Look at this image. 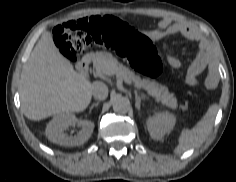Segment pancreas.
Wrapping results in <instances>:
<instances>
[{
  "instance_id": "cf45deb5",
  "label": "pancreas",
  "mask_w": 236,
  "mask_h": 182,
  "mask_svg": "<svg viewBox=\"0 0 236 182\" xmlns=\"http://www.w3.org/2000/svg\"><path fill=\"white\" fill-rule=\"evenodd\" d=\"M92 61L94 68L103 74L112 75L116 73L120 77L129 78L138 88L146 90L149 95L154 97L157 101L169 106L172 109H176L177 99L172 93H169L168 88L150 81L149 79H142L135 73L129 70L122 63H119L111 53L108 52H97L92 55Z\"/></svg>"
}]
</instances>
